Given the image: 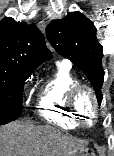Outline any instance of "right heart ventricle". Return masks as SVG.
<instances>
[{"mask_svg":"<svg viewBox=\"0 0 114 156\" xmlns=\"http://www.w3.org/2000/svg\"><path fill=\"white\" fill-rule=\"evenodd\" d=\"M77 84L79 80L71 72L70 66L58 63L55 72L40 89L36 106L38 113L61 128H76L78 121L68 107L67 98Z\"/></svg>","mask_w":114,"mask_h":156,"instance_id":"1","label":"right heart ventricle"}]
</instances>
